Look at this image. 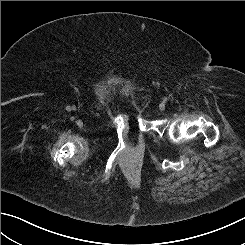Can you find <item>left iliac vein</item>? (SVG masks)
I'll return each mask as SVG.
<instances>
[{
  "label": "left iliac vein",
  "instance_id": "obj_1",
  "mask_svg": "<svg viewBox=\"0 0 245 245\" xmlns=\"http://www.w3.org/2000/svg\"><path fill=\"white\" fill-rule=\"evenodd\" d=\"M159 108H160V110H164V109H165V104H164V103H161V104L159 105Z\"/></svg>",
  "mask_w": 245,
  "mask_h": 245
}]
</instances>
